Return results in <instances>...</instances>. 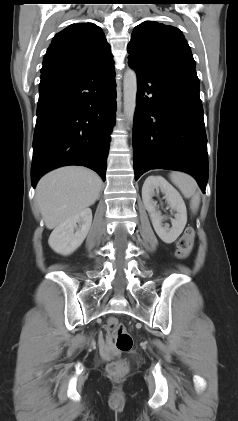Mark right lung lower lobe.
Listing matches in <instances>:
<instances>
[{"label":"right lung lower lobe","mask_w":238,"mask_h":421,"mask_svg":"<svg viewBox=\"0 0 238 421\" xmlns=\"http://www.w3.org/2000/svg\"><path fill=\"white\" fill-rule=\"evenodd\" d=\"M115 69L50 70L39 84L31 181L65 165H82L105 181L115 123Z\"/></svg>","instance_id":"right-lung-lower-lobe-1"}]
</instances>
